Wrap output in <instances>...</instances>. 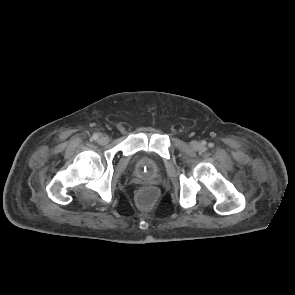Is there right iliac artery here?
I'll return each mask as SVG.
<instances>
[{"label": "right iliac artery", "mask_w": 295, "mask_h": 295, "mask_svg": "<svg viewBox=\"0 0 295 295\" xmlns=\"http://www.w3.org/2000/svg\"><path fill=\"white\" fill-rule=\"evenodd\" d=\"M98 138H99L98 134H94V135L92 136V139H93V140H97Z\"/></svg>", "instance_id": "obj_1"}]
</instances>
